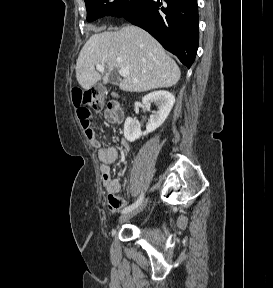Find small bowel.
Returning a JSON list of instances; mask_svg holds the SVG:
<instances>
[{
    "instance_id": "c3829d8e",
    "label": "small bowel",
    "mask_w": 273,
    "mask_h": 288,
    "mask_svg": "<svg viewBox=\"0 0 273 288\" xmlns=\"http://www.w3.org/2000/svg\"><path fill=\"white\" fill-rule=\"evenodd\" d=\"M104 118L111 124H117L122 120V116L119 115L114 104H109L106 107ZM85 134L90 143L97 149L98 157L101 161L100 170L102 185L107 193V208L111 213H113L115 210L121 209L126 205V201L118 196L121 185L118 180L113 178L110 168V165L118 158V150L114 147L102 145L96 135L95 129L90 126L85 129ZM122 146L124 153H127L129 150L127 142L123 141Z\"/></svg>"
}]
</instances>
